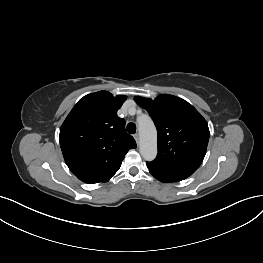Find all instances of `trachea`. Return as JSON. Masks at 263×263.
Segmentation results:
<instances>
[{
    "label": "trachea",
    "mask_w": 263,
    "mask_h": 263,
    "mask_svg": "<svg viewBox=\"0 0 263 263\" xmlns=\"http://www.w3.org/2000/svg\"><path fill=\"white\" fill-rule=\"evenodd\" d=\"M127 132L130 133V134H134L136 132V125L135 123H128L127 124Z\"/></svg>",
    "instance_id": "3493384b"
}]
</instances>
